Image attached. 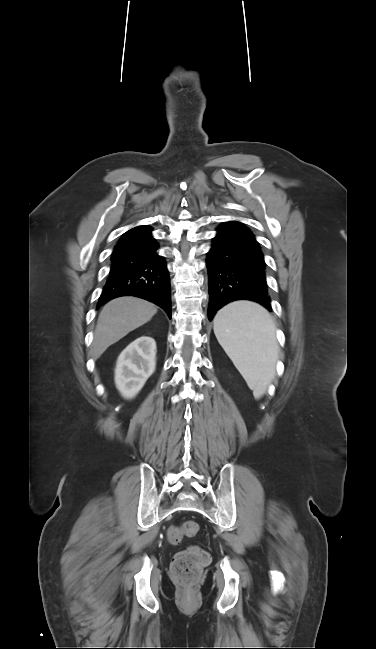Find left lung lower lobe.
Instances as JSON below:
<instances>
[{"mask_svg": "<svg viewBox=\"0 0 376 649\" xmlns=\"http://www.w3.org/2000/svg\"><path fill=\"white\" fill-rule=\"evenodd\" d=\"M206 265L210 321L221 307L240 299L258 302L272 311L263 253L246 226L235 221L221 224L207 254Z\"/></svg>", "mask_w": 376, "mask_h": 649, "instance_id": "1", "label": "left lung lower lobe"}]
</instances>
